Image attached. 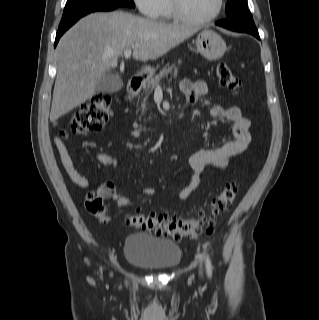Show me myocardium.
Wrapping results in <instances>:
<instances>
[{
	"label": "myocardium",
	"instance_id": "f54148a6",
	"mask_svg": "<svg viewBox=\"0 0 319 320\" xmlns=\"http://www.w3.org/2000/svg\"><path fill=\"white\" fill-rule=\"evenodd\" d=\"M171 15L181 23L202 25L216 20L224 8V0H218L215 12L206 18H193L188 16L180 7L179 0H169Z\"/></svg>",
	"mask_w": 319,
	"mask_h": 320
}]
</instances>
